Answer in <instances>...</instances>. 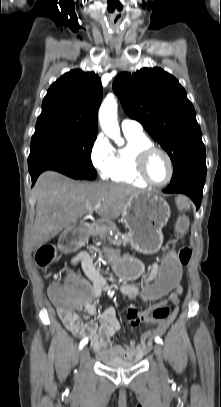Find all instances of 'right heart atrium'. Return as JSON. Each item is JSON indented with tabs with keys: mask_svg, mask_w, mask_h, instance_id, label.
Segmentation results:
<instances>
[{
	"mask_svg": "<svg viewBox=\"0 0 221 407\" xmlns=\"http://www.w3.org/2000/svg\"><path fill=\"white\" fill-rule=\"evenodd\" d=\"M90 159L99 176L103 179L109 178L113 166L114 148L103 135H98L93 142Z\"/></svg>",
	"mask_w": 221,
	"mask_h": 407,
	"instance_id": "right-heart-atrium-1",
	"label": "right heart atrium"
}]
</instances>
